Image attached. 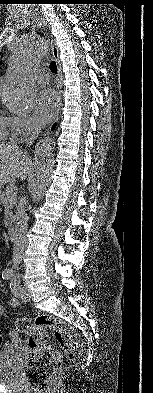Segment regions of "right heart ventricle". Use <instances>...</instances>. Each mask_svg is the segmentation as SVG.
<instances>
[{"label": "right heart ventricle", "mask_w": 153, "mask_h": 393, "mask_svg": "<svg viewBox=\"0 0 153 393\" xmlns=\"http://www.w3.org/2000/svg\"><path fill=\"white\" fill-rule=\"evenodd\" d=\"M14 138V118L5 114H0V141H7Z\"/></svg>", "instance_id": "e07e8e85"}]
</instances>
